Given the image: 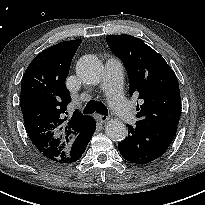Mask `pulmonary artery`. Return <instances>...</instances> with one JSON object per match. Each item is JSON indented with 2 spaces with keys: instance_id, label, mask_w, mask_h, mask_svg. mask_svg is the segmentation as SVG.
Listing matches in <instances>:
<instances>
[{
  "instance_id": "obj_1",
  "label": "pulmonary artery",
  "mask_w": 205,
  "mask_h": 205,
  "mask_svg": "<svg viewBox=\"0 0 205 205\" xmlns=\"http://www.w3.org/2000/svg\"><path fill=\"white\" fill-rule=\"evenodd\" d=\"M122 70L123 66L120 59L115 57L107 59L100 84L106 90L107 99L117 111L121 121L129 124L134 115L129 102L122 96Z\"/></svg>"
}]
</instances>
